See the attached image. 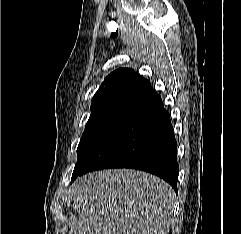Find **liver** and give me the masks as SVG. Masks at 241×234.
I'll use <instances>...</instances> for the list:
<instances>
[{"instance_id": "obj_1", "label": "liver", "mask_w": 241, "mask_h": 234, "mask_svg": "<svg viewBox=\"0 0 241 234\" xmlns=\"http://www.w3.org/2000/svg\"><path fill=\"white\" fill-rule=\"evenodd\" d=\"M174 205L173 189L154 175L132 169L96 171L72 185L78 220L70 234H167Z\"/></svg>"}]
</instances>
